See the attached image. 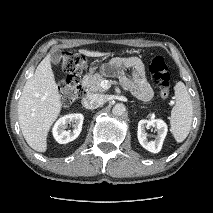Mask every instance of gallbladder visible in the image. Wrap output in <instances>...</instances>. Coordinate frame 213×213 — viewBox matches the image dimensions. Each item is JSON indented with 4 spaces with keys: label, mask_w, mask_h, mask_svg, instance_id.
I'll return each instance as SVG.
<instances>
[{
    "label": "gallbladder",
    "mask_w": 213,
    "mask_h": 213,
    "mask_svg": "<svg viewBox=\"0 0 213 213\" xmlns=\"http://www.w3.org/2000/svg\"><path fill=\"white\" fill-rule=\"evenodd\" d=\"M62 58V53L59 50L52 51L50 54V60L54 65H57Z\"/></svg>",
    "instance_id": "obj_1"
}]
</instances>
